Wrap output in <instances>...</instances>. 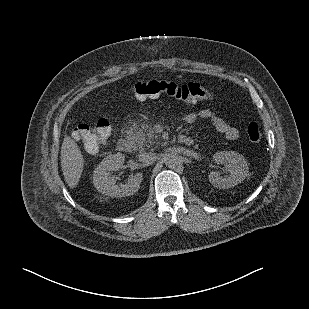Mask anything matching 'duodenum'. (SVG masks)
Returning a JSON list of instances; mask_svg holds the SVG:
<instances>
[{"label":"duodenum","instance_id":"1","mask_svg":"<svg viewBox=\"0 0 309 309\" xmlns=\"http://www.w3.org/2000/svg\"><path fill=\"white\" fill-rule=\"evenodd\" d=\"M178 141L182 144L185 145H192L193 140L191 137L189 136H180L178 138ZM117 148L121 151V152H125V153H129L132 151V144L131 141L129 139L126 138H120L117 142Z\"/></svg>","mask_w":309,"mask_h":309}]
</instances>
